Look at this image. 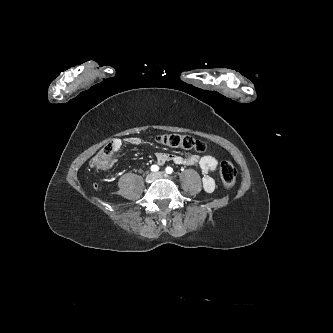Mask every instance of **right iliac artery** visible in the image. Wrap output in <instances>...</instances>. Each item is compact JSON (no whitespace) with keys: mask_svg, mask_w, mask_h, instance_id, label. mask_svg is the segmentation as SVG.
Wrapping results in <instances>:
<instances>
[{"mask_svg":"<svg viewBox=\"0 0 333 333\" xmlns=\"http://www.w3.org/2000/svg\"><path fill=\"white\" fill-rule=\"evenodd\" d=\"M159 170V167L157 165H152L151 166V171L157 172Z\"/></svg>","mask_w":333,"mask_h":333,"instance_id":"82829eb1","label":"right iliac artery"}]
</instances>
